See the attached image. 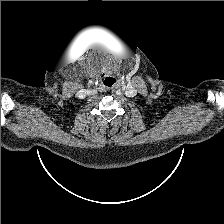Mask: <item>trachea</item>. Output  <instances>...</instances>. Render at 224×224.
Wrapping results in <instances>:
<instances>
[{
  "instance_id": "3493384b",
  "label": "trachea",
  "mask_w": 224,
  "mask_h": 224,
  "mask_svg": "<svg viewBox=\"0 0 224 224\" xmlns=\"http://www.w3.org/2000/svg\"><path fill=\"white\" fill-rule=\"evenodd\" d=\"M111 81L109 82V86L113 85L115 83V79L114 78H109Z\"/></svg>"
}]
</instances>
